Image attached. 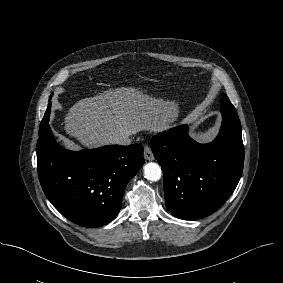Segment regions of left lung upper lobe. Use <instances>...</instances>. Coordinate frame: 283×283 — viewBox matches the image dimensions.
<instances>
[{
	"label": "left lung upper lobe",
	"instance_id": "left-lung-upper-lobe-1",
	"mask_svg": "<svg viewBox=\"0 0 283 283\" xmlns=\"http://www.w3.org/2000/svg\"><path fill=\"white\" fill-rule=\"evenodd\" d=\"M221 104H225V105L232 104L225 93L222 94Z\"/></svg>",
	"mask_w": 283,
	"mask_h": 283
}]
</instances>
